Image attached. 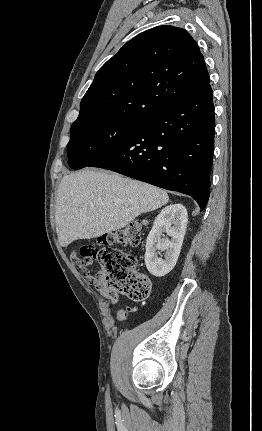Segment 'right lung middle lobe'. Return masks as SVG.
<instances>
[{"instance_id":"right-lung-middle-lobe-1","label":"right lung middle lobe","mask_w":262,"mask_h":431,"mask_svg":"<svg viewBox=\"0 0 262 431\" xmlns=\"http://www.w3.org/2000/svg\"><path fill=\"white\" fill-rule=\"evenodd\" d=\"M141 120H96L72 125L67 144L68 165L81 169L96 162L131 135Z\"/></svg>"}]
</instances>
